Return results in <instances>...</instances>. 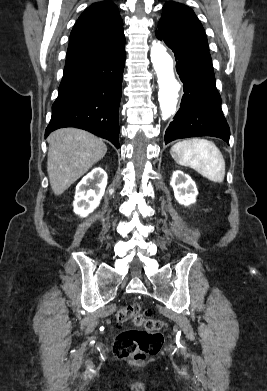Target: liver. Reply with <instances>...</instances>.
Instances as JSON below:
<instances>
[{
	"mask_svg": "<svg viewBox=\"0 0 267 391\" xmlns=\"http://www.w3.org/2000/svg\"><path fill=\"white\" fill-rule=\"evenodd\" d=\"M47 141V171L55 195L67 190L107 152L102 139L75 128L56 130Z\"/></svg>",
	"mask_w": 267,
	"mask_h": 391,
	"instance_id": "1",
	"label": "liver"
}]
</instances>
